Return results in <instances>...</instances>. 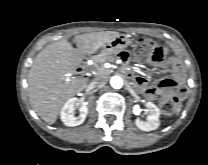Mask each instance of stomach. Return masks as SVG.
<instances>
[{
    "instance_id": "1",
    "label": "stomach",
    "mask_w": 208,
    "mask_h": 165,
    "mask_svg": "<svg viewBox=\"0 0 208 165\" xmlns=\"http://www.w3.org/2000/svg\"><path fill=\"white\" fill-rule=\"evenodd\" d=\"M130 44V39L125 35H120L110 42L103 45L102 49L104 52L110 54H117L125 49Z\"/></svg>"
}]
</instances>
